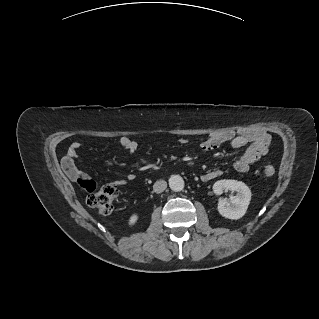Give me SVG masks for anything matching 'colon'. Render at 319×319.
I'll return each instance as SVG.
<instances>
[{
    "label": "colon",
    "mask_w": 319,
    "mask_h": 319,
    "mask_svg": "<svg viewBox=\"0 0 319 319\" xmlns=\"http://www.w3.org/2000/svg\"><path fill=\"white\" fill-rule=\"evenodd\" d=\"M263 172L266 177H271L275 174V168L272 165H266ZM78 182L88 192L87 204L90 208L101 215L111 213L118 194L115 186L103 185L98 188L93 180L83 178H80Z\"/></svg>",
    "instance_id": "5ec220e1"
}]
</instances>
